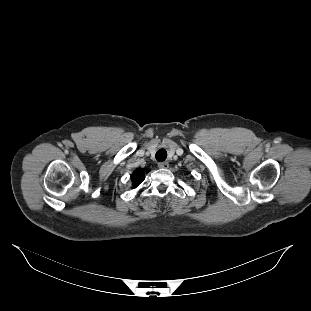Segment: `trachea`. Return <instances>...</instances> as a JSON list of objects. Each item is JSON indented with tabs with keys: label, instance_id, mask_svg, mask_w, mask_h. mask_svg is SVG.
I'll return each mask as SVG.
<instances>
[{
	"label": "trachea",
	"instance_id": "obj_1",
	"mask_svg": "<svg viewBox=\"0 0 311 311\" xmlns=\"http://www.w3.org/2000/svg\"><path fill=\"white\" fill-rule=\"evenodd\" d=\"M156 160L157 161H164L166 158H167V152L164 148H161L159 149L157 152H156Z\"/></svg>",
	"mask_w": 311,
	"mask_h": 311
}]
</instances>
